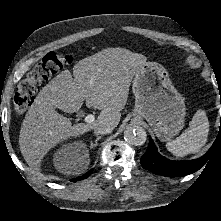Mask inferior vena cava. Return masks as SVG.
I'll return each instance as SVG.
<instances>
[{
    "mask_svg": "<svg viewBox=\"0 0 221 221\" xmlns=\"http://www.w3.org/2000/svg\"><path fill=\"white\" fill-rule=\"evenodd\" d=\"M113 131V127L110 125H97L94 127V133L96 135L109 134Z\"/></svg>",
    "mask_w": 221,
    "mask_h": 221,
    "instance_id": "1",
    "label": "inferior vena cava"
}]
</instances>
